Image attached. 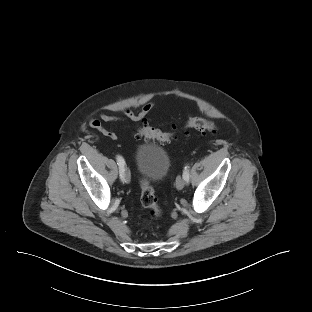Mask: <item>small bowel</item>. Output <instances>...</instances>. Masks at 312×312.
I'll list each match as a JSON object with an SVG mask.
<instances>
[{
	"label": "small bowel",
	"mask_w": 312,
	"mask_h": 312,
	"mask_svg": "<svg viewBox=\"0 0 312 312\" xmlns=\"http://www.w3.org/2000/svg\"><path fill=\"white\" fill-rule=\"evenodd\" d=\"M153 108V104H147L145 105L140 111L134 112L130 109H123L120 112L131 121H141L144 120L145 116L150 112V110ZM122 122V118L116 115H111L107 113H103L100 115V118H92L89 122V125L91 128L97 130L104 136L110 138V139H116L117 135L114 131L109 129L106 124L111 123H120Z\"/></svg>",
	"instance_id": "obj_1"
}]
</instances>
